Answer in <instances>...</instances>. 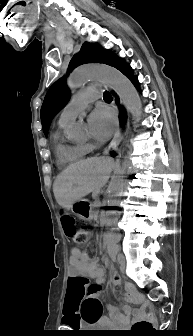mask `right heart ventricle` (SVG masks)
Segmentation results:
<instances>
[{
	"instance_id": "obj_1",
	"label": "right heart ventricle",
	"mask_w": 193,
	"mask_h": 336,
	"mask_svg": "<svg viewBox=\"0 0 193 336\" xmlns=\"http://www.w3.org/2000/svg\"><path fill=\"white\" fill-rule=\"evenodd\" d=\"M60 130L55 133V154L60 165L72 164L82 159L88 152L85 144L66 141L61 130L65 126H59Z\"/></svg>"
}]
</instances>
